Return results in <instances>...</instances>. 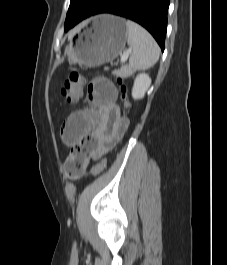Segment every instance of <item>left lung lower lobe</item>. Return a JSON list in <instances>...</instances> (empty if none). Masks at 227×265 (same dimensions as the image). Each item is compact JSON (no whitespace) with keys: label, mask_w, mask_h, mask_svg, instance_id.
I'll return each mask as SVG.
<instances>
[{"label":"left lung lower lobe","mask_w":227,"mask_h":265,"mask_svg":"<svg viewBox=\"0 0 227 265\" xmlns=\"http://www.w3.org/2000/svg\"><path fill=\"white\" fill-rule=\"evenodd\" d=\"M169 3L170 0H105L90 16L110 13L131 19L146 28L164 51Z\"/></svg>","instance_id":"1"}]
</instances>
